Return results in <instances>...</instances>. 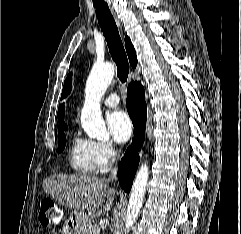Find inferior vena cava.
<instances>
[{"instance_id": "inferior-vena-cava-1", "label": "inferior vena cava", "mask_w": 241, "mask_h": 234, "mask_svg": "<svg viewBox=\"0 0 241 234\" xmlns=\"http://www.w3.org/2000/svg\"><path fill=\"white\" fill-rule=\"evenodd\" d=\"M116 177H117V167H114L111 170V176L109 177V180H114V179H116Z\"/></svg>"}]
</instances>
